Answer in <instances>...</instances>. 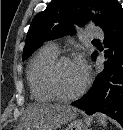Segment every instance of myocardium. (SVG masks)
Listing matches in <instances>:
<instances>
[{
  "label": "myocardium",
  "instance_id": "obj_1",
  "mask_svg": "<svg viewBox=\"0 0 123 130\" xmlns=\"http://www.w3.org/2000/svg\"><path fill=\"white\" fill-rule=\"evenodd\" d=\"M71 60V57L68 55H59L53 60L48 69V86L56 99L60 101H72L79 98L84 94L90 84V76L86 73L85 81L77 91L74 93L66 94L61 90L57 79L58 69L63 62Z\"/></svg>",
  "mask_w": 123,
  "mask_h": 130
}]
</instances>
